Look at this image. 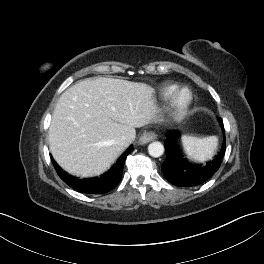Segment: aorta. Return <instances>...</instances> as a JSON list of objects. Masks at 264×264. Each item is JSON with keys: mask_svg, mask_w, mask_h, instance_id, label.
<instances>
[{"mask_svg": "<svg viewBox=\"0 0 264 264\" xmlns=\"http://www.w3.org/2000/svg\"><path fill=\"white\" fill-rule=\"evenodd\" d=\"M148 153L152 157H160L164 153V146L159 141H154L149 144L148 146Z\"/></svg>", "mask_w": 264, "mask_h": 264, "instance_id": "762f6f07", "label": "aorta"}]
</instances>
